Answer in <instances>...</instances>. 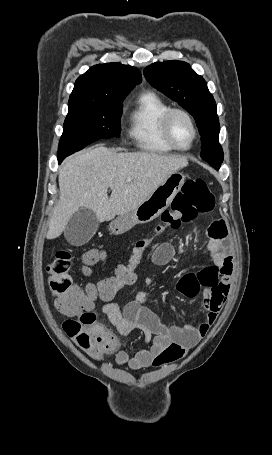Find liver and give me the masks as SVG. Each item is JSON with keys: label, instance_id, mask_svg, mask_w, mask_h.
<instances>
[{"label": "liver", "instance_id": "6515ba94", "mask_svg": "<svg viewBox=\"0 0 272 455\" xmlns=\"http://www.w3.org/2000/svg\"><path fill=\"white\" fill-rule=\"evenodd\" d=\"M187 165L188 160L181 156L118 153L102 145L71 156L59 170L60 197L46 238L59 237L80 208L92 210L100 222L134 210L168 176Z\"/></svg>", "mask_w": 272, "mask_h": 455}]
</instances>
